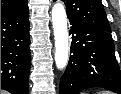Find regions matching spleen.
<instances>
[{"instance_id": "spleen-1", "label": "spleen", "mask_w": 121, "mask_h": 94, "mask_svg": "<svg viewBox=\"0 0 121 94\" xmlns=\"http://www.w3.org/2000/svg\"><path fill=\"white\" fill-rule=\"evenodd\" d=\"M100 94H108L107 92H101Z\"/></svg>"}]
</instances>
